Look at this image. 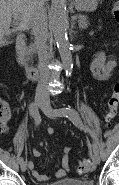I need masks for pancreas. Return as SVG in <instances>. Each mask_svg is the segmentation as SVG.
<instances>
[{"mask_svg": "<svg viewBox=\"0 0 119 185\" xmlns=\"http://www.w3.org/2000/svg\"><path fill=\"white\" fill-rule=\"evenodd\" d=\"M77 19H78L80 29H86L88 27L89 22H88L87 17L85 15H79L77 17ZM29 50H30L31 54H33L35 51L34 45H30Z\"/></svg>", "mask_w": 119, "mask_h": 185, "instance_id": "obj_1", "label": "pancreas"}]
</instances>
